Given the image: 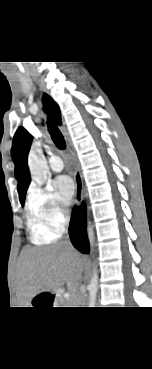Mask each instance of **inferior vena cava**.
<instances>
[{"label": "inferior vena cava", "instance_id": "602c4592", "mask_svg": "<svg viewBox=\"0 0 152 369\" xmlns=\"http://www.w3.org/2000/svg\"><path fill=\"white\" fill-rule=\"evenodd\" d=\"M62 244L68 246V247H72L70 241H69V237L68 235L65 237V240L62 242Z\"/></svg>", "mask_w": 152, "mask_h": 369}]
</instances>
